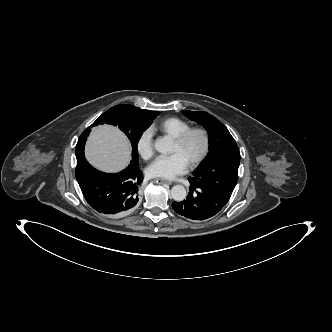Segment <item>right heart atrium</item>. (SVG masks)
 <instances>
[{
	"label": "right heart atrium",
	"mask_w": 332,
	"mask_h": 332,
	"mask_svg": "<svg viewBox=\"0 0 332 332\" xmlns=\"http://www.w3.org/2000/svg\"><path fill=\"white\" fill-rule=\"evenodd\" d=\"M136 149L144 160H149L154 154L153 132L151 129H145L138 137Z\"/></svg>",
	"instance_id": "right-heart-atrium-1"
}]
</instances>
